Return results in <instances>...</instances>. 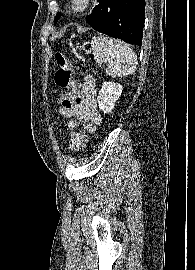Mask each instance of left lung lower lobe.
<instances>
[{"mask_svg": "<svg viewBox=\"0 0 195 270\" xmlns=\"http://www.w3.org/2000/svg\"><path fill=\"white\" fill-rule=\"evenodd\" d=\"M87 16L96 31L129 44L141 45L145 20V0H98Z\"/></svg>", "mask_w": 195, "mask_h": 270, "instance_id": "left-lung-lower-lobe-1", "label": "left lung lower lobe"}]
</instances>
